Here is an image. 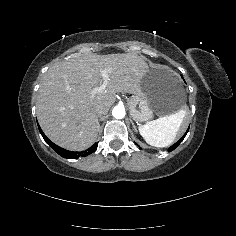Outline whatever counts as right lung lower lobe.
<instances>
[{"instance_id": "right-lung-lower-lobe-1", "label": "right lung lower lobe", "mask_w": 236, "mask_h": 236, "mask_svg": "<svg viewBox=\"0 0 236 236\" xmlns=\"http://www.w3.org/2000/svg\"><path fill=\"white\" fill-rule=\"evenodd\" d=\"M39 127V126H38ZM39 131L42 135V137L44 138V140L47 142V144L56 152L58 153L60 156L64 157V158H68V159H76L79 158L80 156H87L91 153H93L96 149H97V145L98 143H95L94 145H92L88 150L82 151V152H73V151H68L65 150L59 146H57L56 144H54L53 142H51L43 133V131L41 130V128L39 127Z\"/></svg>"}]
</instances>
